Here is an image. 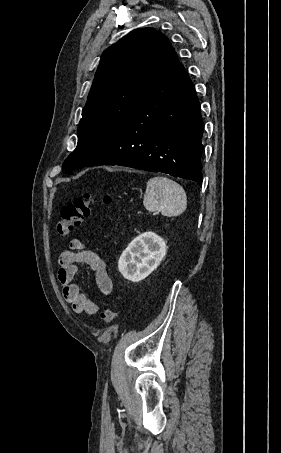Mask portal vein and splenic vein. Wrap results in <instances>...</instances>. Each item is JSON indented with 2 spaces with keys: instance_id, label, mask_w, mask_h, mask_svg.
<instances>
[{
  "instance_id": "1",
  "label": "portal vein and splenic vein",
  "mask_w": 281,
  "mask_h": 453,
  "mask_svg": "<svg viewBox=\"0 0 281 453\" xmlns=\"http://www.w3.org/2000/svg\"><path fill=\"white\" fill-rule=\"evenodd\" d=\"M136 214H137V215H140V214H141V210H138V212H137ZM151 214H152V215H153V214H154V215H161V212H154V213L152 212Z\"/></svg>"
}]
</instances>
